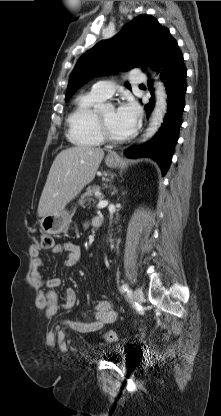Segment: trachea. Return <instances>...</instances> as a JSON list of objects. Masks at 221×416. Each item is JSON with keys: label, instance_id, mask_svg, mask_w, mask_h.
I'll list each match as a JSON object with an SVG mask.
<instances>
[{"label": "trachea", "instance_id": "3493384b", "mask_svg": "<svg viewBox=\"0 0 221 416\" xmlns=\"http://www.w3.org/2000/svg\"><path fill=\"white\" fill-rule=\"evenodd\" d=\"M139 86H144V84H140Z\"/></svg>", "mask_w": 221, "mask_h": 416}]
</instances>
